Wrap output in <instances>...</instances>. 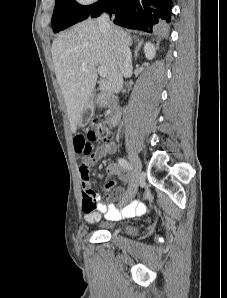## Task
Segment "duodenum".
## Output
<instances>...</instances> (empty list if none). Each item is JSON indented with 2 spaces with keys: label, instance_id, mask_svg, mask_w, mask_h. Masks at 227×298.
Segmentation results:
<instances>
[{
  "label": "duodenum",
  "instance_id": "duodenum-1",
  "mask_svg": "<svg viewBox=\"0 0 227 298\" xmlns=\"http://www.w3.org/2000/svg\"><path fill=\"white\" fill-rule=\"evenodd\" d=\"M100 105L110 108L107 121L110 126H116L119 121V109L114 99L110 95H102L100 98Z\"/></svg>",
  "mask_w": 227,
  "mask_h": 298
}]
</instances>
